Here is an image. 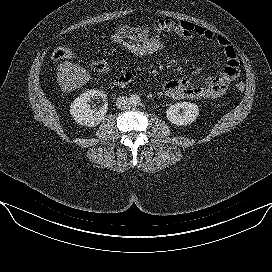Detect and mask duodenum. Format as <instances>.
Instances as JSON below:
<instances>
[{"instance_id": "obj_1", "label": "duodenum", "mask_w": 272, "mask_h": 272, "mask_svg": "<svg viewBox=\"0 0 272 272\" xmlns=\"http://www.w3.org/2000/svg\"><path fill=\"white\" fill-rule=\"evenodd\" d=\"M130 81H131L130 78L127 75L123 74V75L117 77L113 81V84L118 87H123V86L127 85Z\"/></svg>"}]
</instances>
